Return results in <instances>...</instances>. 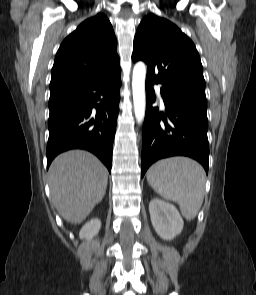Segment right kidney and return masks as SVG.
I'll return each mask as SVG.
<instances>
[{
    "mask_svg": "<svg viewBox=\"0 0 256 295\" xmlns=\"http://www.w3.org/2000/svg\"><path fill=\"white\" fill-rule=\"evenodd\" d=\"M101 228V221L97 218H94L87 222L80 230L79 237L80 239L90 240L96 236Z\"/></svg>",
    "mask_w": 256,
    "mask_h": 295,
    "instance_id": "obj_1",
    "label": "right kidney"
}]
</instances>
